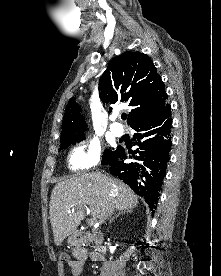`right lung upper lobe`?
<instances>
[{
	"label": "right lung upper lobe",
	"instance_id": "cb5924a9",
	"mask_svg": "<svg viewBox=\"0 0 221 276\" xmlns=\"http://www.w3.org/2000/svg\"><path fill=\"white\" fill-rule=\"evenodd\" d=\"M99 91L105 103L128 102L132 107L129 125L159 112L168 98L153 62L140 52L129 51L112 59L100 78ZM86 130L81 108L71 98L65 109L60 141L82 137Z\"/></svg>",
	"mask_w": 221,
	"mask_h": 276
}]
</instances>
